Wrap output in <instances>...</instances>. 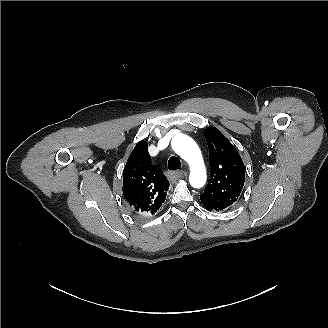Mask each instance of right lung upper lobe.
Masks as SVG:
<instances>
[{
  "label": "right lung upper lobe",
  "instance_id": "right-lung-upper-lobe-1",
  "mask_svg": "<svg viewBox=\"0 0 328 328\" xmlns=\"http://www.w3.org/2000/svg\"><path fill=\"white\" fill-rule=\"evenodd\" d=\"M169 183L163 172L151 164L146 141L136 144L123 171V194L134 213L154 215L162 208Z\"/></svg>",
  "mask_w": 328,
  "mask_h": 328
}]
</instances>
